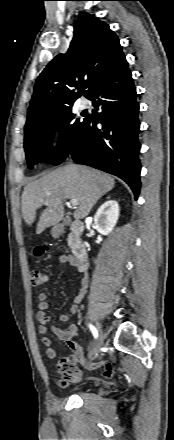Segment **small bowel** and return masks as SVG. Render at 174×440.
<instances>
[{"mask_svg":"<svg viewBox=\"0 0 174 440\" xmlns=\"http://www.w3.org/2000/svg\"><path fill=\"white\" fill-rule=\"evenodd\" d=\"M61 264H70L77 266L75 258L71 254H62L59 257ZM87 279L84 278L81 282V289L75 298V303L70 307L69 311L58 316V321L61 323L67 322L70 317L76 314L79 310V304L83 301L86 288ZM36 312V319L39 322L38 332L42 335V343L45 346L46 356L50 359L56 358V350L52 345L51 339L47 336L49 332L55 334L60 340L65 342L68 348L72 351V355L59 359L56 362V368L60 374V383L77 382L82 377V371L76 366L77 363L84 364L88 369L94 370L106 366L103 373V378H111L114 375L112 363L100 360L94 363L86 364L83 359V347L75 341L78 336L79 329L76 324H70L67 328L61 329L55 325H51V317L47 314L48 302L46 293L38 295V306Z\"/></svg>","mask_w":174,"mask_h":440,"instance_id":"c3829d8e","label":"small bowel"}]
</instances>
